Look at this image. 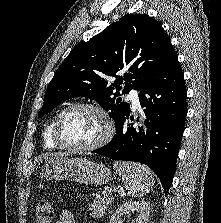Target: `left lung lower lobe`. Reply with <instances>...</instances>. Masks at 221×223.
<instances>
[{"label":"left lung lower lobe","instance_id":"obj_1","mask_svg":"<svg viewBox=\"0 0 221 223\" xmlns=\"http://www.w3.org/2000/svg\"><path fill=\"white\" fill-rule=\"evenodd\" d=\"M140 90V104L145 114L141 126L134 127L129 111L116 128L113 139L92 152L112 160L147 165L159 177L167 194L188 111L184 75L171 44L160 68Z\"/></svg>","mask_w":221,"mask_h":223}]
</instances>
